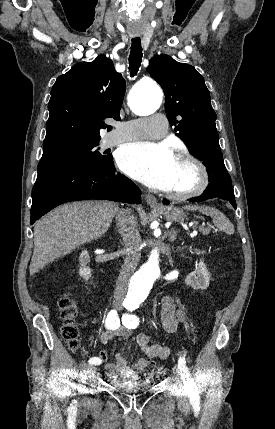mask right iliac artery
<instances>
[{"label": "right iliac artery", "instance_id": "1", "mask_svg": "<svg viewBox=\"0 0 275 429\" xmlns=\"http://www.w3.org/2000/svg\"><path fill=\"white\" fill-rule=\"evenodd\" d=\"M105 326L109 330H116L120 327V319L118 317V314L116 310H111L109 314L107 315ZM90 364L99 365L101 364V359L99 357H92L89 360Z\"/></svg>", "mask_w": 275, "mask_h": 429}]
</instances>
